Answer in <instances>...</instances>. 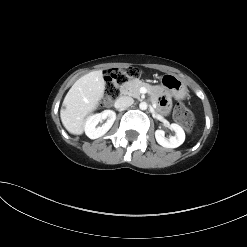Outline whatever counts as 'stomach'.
Segmentation results:
<instances>
[{
    "mask_svg": "<svg viewBox=\"0 0 247 247\" xmlns=\"http://www.w3.org/2000/svg\"><path fill=\"white\" fill-rule=\"evenodd\" d=\"M161 84L177 100L186 98L188 94L187 86L173 74H164Z\"/></svg>",
    "mask_w": 247,
    "mask_h": 247,
    "instance_id": "stomach-1",
    "label": "stomach"
}]
</instances>
